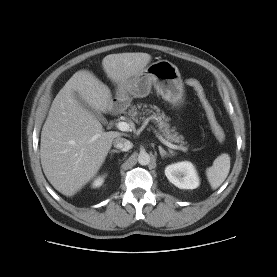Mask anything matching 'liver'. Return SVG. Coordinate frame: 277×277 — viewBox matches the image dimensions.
Listing matches in <instances>:
<instances>
[{
	"label": "liver",
	"instance_id": "1",
	"mask_svg": "<svg viewBox=\"0 0 277 277\" xmlns=\"http://www.w3.org/2000/svg\"><path fill=\"white\" fill-rule=\"evenodd\" d=\"M147 53L110 54L102 66L117 85L138 75L150 62ZM75 93L98 113L113 109L110 89L88 70L77 71L58 92L43 125L40 158L51 185L65 196H73L98 173L115 138L99 120L75 99Z\"/></svg>",
	"mask_w": 277,
	"mask_h": 277
}]
</instances>
